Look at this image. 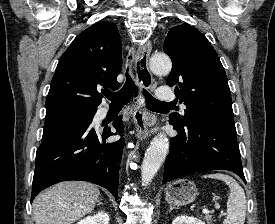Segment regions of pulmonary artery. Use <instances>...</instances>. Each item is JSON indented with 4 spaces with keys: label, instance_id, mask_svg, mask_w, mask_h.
<instances>
[{
    "label": "pulmonary artery",
    "instance_id": "pulmonary-artery-1",
    "mask_svg": "<svg viewBox=\"0 0 275 224\" xmlns=\"http://www.w3.org/2000/svg\"><path fill=\"white\" fill-rule=\"evenodd\" d=\"M156 96L159 101H173L176 96L172 88L170 87H161L156 91ZM182 108H185V105L181 104Z\"/></svg>",
    "mask_w": 275,
    "mask_h": 224
}]
</instances>
